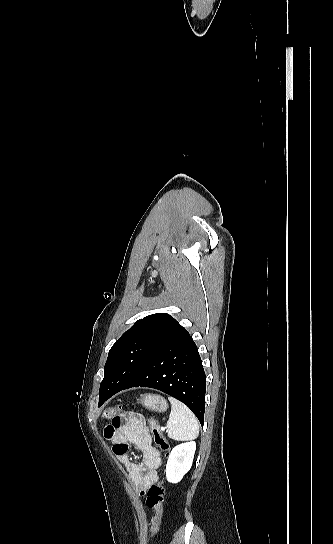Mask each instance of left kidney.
<instances>
[{"mask_svg": "<svg viewBox=\"0 0 333 544\" xmlns=\"http://www.w3.org/2000/svg\"><path fill=\"white\" fill-rule=\"evenodd\" d=\"M196 450L195 441L175 446L166 465V478L171 483H178L190 470Z\"/></svg>", "mask_w": 333, "mask_h": 544, "instance_id": "1", "label": "left kidney"}]
</instances>
